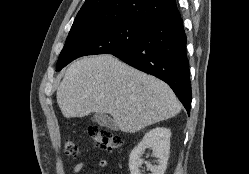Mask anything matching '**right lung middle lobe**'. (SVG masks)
<instances>
[{"label":"right lung middle lobe","mask_w":249,"mask_h":174,"mask_svg":"<svg viewBox=\"0 0 249 174\" xmlns=\"http://www.w3.org/2000/svg\"><path fill=\"white\" fill-rule=\"evenodd\" d=\"M145 27L144 21L122 20L69 32L56 71L82 56L121 52L142 36Z\"/></svg>","instance_id":"1"}]
</instances>
